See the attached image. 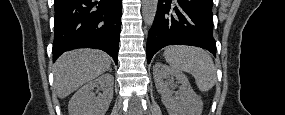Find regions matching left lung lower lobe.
<instances>
[{"label": "left lung lower lobe", "instance_id": "1", "mask_svg": "<svg viewBox=\"0 0 285 115\" xmlns=\"http://www.w3.org/2000/svg\"><path fill=\"white\" fill-rule=\"evenodd\" d=\"M213 0H159L147 41V61L167 45L202 47L216 53Z\"/></svg>", "mask_w": 285, "mask_h": 115}]
</instances>
